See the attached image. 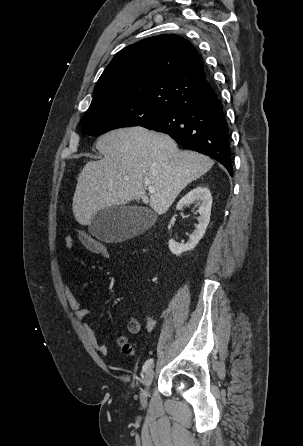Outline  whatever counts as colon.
Returning a JSON list of instances; mask_svg holds the SVG:
<instances>
[{
	"label": "colon",
	"instance_id": "5ec220e1",
	"mask_svg": "<svg viewBox=\"0 0 303 446\" xmlns=\"http://www.w3.org/2000/svg\"><path fill=\"white\" fill-rule=\"evenodd\" d=\"M79 231H81V230H78V232ZM96 255L103 257V258L110 257V251H109L108 247L101 241H98V243H97ZM118 345L120 346V348L124 354L132 355L134 353L133 345L131 343H129L125 337H120L118 339Z\"/></svg>",
	"mask_w": 303,
	"mask_h": 446
}]
</instances>
